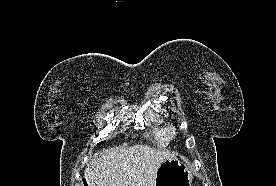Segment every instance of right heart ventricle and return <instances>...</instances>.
Masks as SVG:
<instances>
[{"mask_svg": "<svg viewBox=\"0 0 276 186\" xmlns=\"http://www.w3.org/2000/svg\"><path fill=\"white\" fill-rule=\"evenodd\" d=\"M151 136L153 141L160 147H165L168 144L169 138L166 135L164 127H156L152 130Z\"/></svg>", "mask_w": 276, "mask_h": 186, "instance_id": "right-heart-ventricle-1", "label": "right heart ventricle"}]
</instances>
